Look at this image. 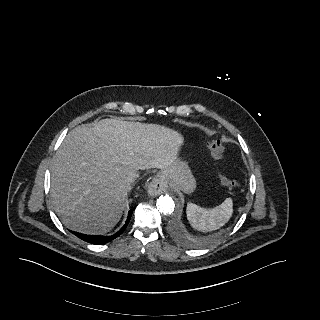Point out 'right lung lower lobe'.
Listing matches in <instances>:
<instances>
[{
  "instance_id": "obj_1",
  "label": "right lung lower lobe",
  "mask_w": 320,
  "mask_h": 320,
  "mask_svg": "<svg viewBox=\"0 0 320 320\" xmlns=\"http://www.w3.org/2000/svg\"><path fill=\"white\" fill-rule=\"evenodd\" d=\"M132 216V211H129L128 213V218L126 220L125 225L114 235L111 236H100V235H86V234H82V233H78V232H73L71 231L74 235H76L77 237H79L80 239L91 243V244H105L108 243L110 241H112L113 239H115L116 237H118L127 227L130 219Z\"/></svg>"
}]
</instances>
